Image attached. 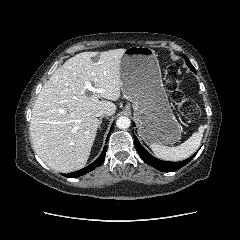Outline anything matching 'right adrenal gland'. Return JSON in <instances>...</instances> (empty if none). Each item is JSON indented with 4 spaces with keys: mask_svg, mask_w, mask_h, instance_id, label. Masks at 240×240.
<instances>
[{
    "mask_svg": "<svg viewBox=\"0 0 240 240\" xmlns=\"http://www.w3.org/2000/svg\"><path fill=\"white\" fill-rule=\"evenodd\" d=\"M102 119H103V116H101L100 119H99V130H100V131H101Z\"/></svg>",
    "mask_w": 240,
    "mask_h": 240,
    "instance_id": "obj_1",
    "label": "right adrenal gland"
}]
</instances>
